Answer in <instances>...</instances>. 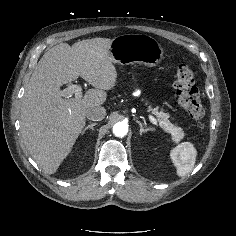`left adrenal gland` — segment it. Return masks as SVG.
Listing matches in <instances>:
<instances>
[{"label":"left adrenal gland","instance_id":"left-adrenal-gland-1","mask_svg":"<svg viewBox=\"0 0 236 236\" xmlns=\"http://www.w3.org/2000/svg\"><path fill=\"white\" fill-rule=\"evenodd\" d=\"M136 122L139 124L140 126V135H142V133H146L147 131H149V128H145L143 127L142 123L138 120H136Z\"/></svg>","mask_w":236,"mask_h":236}]
</instances>
